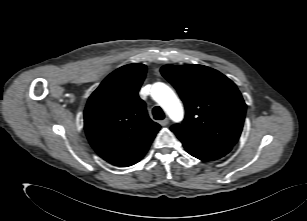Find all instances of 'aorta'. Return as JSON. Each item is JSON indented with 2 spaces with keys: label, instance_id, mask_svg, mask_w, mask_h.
Instances as JSON below:
<instances>
[{
  "label": "aorta",
  "instance_id": "762f6f07",
  "mask_svg": "<svg viewBox=\"0 0 307 221\" xmlns=\"http://www.w3.org/2000/svg\"><path fill=\"white\" fill-rule=\"evenodd\" d=\"M151 95L173 121L179 122L182 120V104L169 86L164 83H155Z\"/></svg>",
  "mask_w": 307,
  "mask_h": 221
}]
</instances>
